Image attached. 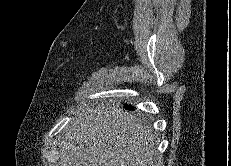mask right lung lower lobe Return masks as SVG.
<instances>
[{"label": "right lung lower lobe", "mask_w": 231, "mask_h": 166, "mask_svg": "<svg viewBox=\"0 0 231 166\" xmlns=\"http://www.w3.org/2000/svg\"><path fill=\"white\" fill-rule=\"evenodd\" d=\"M125 108H128L129 110H134V108L131 105L125 104Z\"/></svg>", "instance_id": "1"}]
</instances>
